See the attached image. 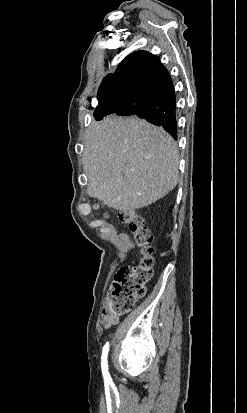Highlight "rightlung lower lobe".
<instances>
[{"label": "right lung lower lobe", "instance_id": "98d812e1", "mask_svg": "<svg viewBox=\"0 0 247 413\" xmlns=\"http://www.w3.org/2000/svg\"><path fill=\"white\" fill-rule=\"evenodd\" d=\"M127 83L136 90L135 98L111 97L99 102L94 118L102 120L106 115H137L148 122L162 126L177 140L176 98L173 82L166 70L141 71L128 78Z\"/></svg>", "mask_w": 247, "mask_h": 413}]
</instances>
